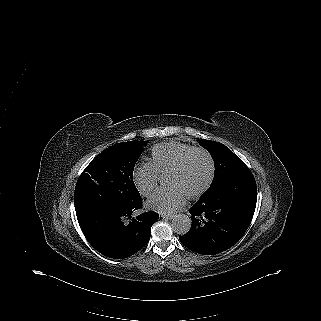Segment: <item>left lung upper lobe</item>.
<instances>
[{"mask_svg":"<svg viewBox=\"0 0 321 321\" xmlns=\"http://www.w3.org/2000/svg\"><path fill=\"white\" fill-rule=\"evenodd\" d=\"M198 142L209 151L215 164L214 180L208 191L217 189L236 175L251 172L246 164L225 145L205 139Z\"/></svg>","mask_w":321,"mask_h":321,"instance_id":"5c2ea615","label":"left lung upper lobe"}]
</instances>
